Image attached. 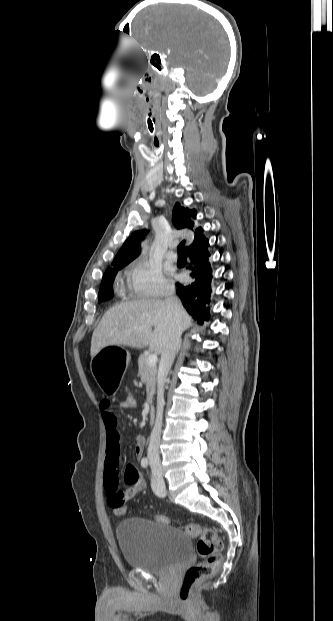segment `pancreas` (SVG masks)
<instances>
[{
    "instance_id": "1",
    "label": "pancreas",
    "mask_w": 333,
    "mask_h": 621,
    "mask_svg": "<svg viewBox=\"0 0 333 621\" xmlns=\"http://www.w3.org/2000/svg\"><path fill=\"white\" fill-rule=\"evenodd\" d=\"M148 356L141 355L138 358V376L146 384L147 400L150 401L155 393L157 368L156 366H150L147 362Z\"/></svg>"
}]
</instances>
